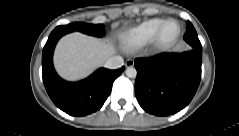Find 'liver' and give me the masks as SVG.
Wrapping results in <instances>:
<instances>
[{
	"label": "liver",
	"mask_w": 239,
	"mask_h": 136,
	"mask_svg": "<svg viewBox=\"0 0 239 136\" xmlns=\"http://www.w3.org/2000/svg\"><path fill=\"white\" fill-rule=\"evenodd\" d=\"M115 52V46L108 39L72 32L59 40L54 66L62 78L77 81L89 76Z\"/></svg>",
	"instance_id": "1"
}]
</instances>
